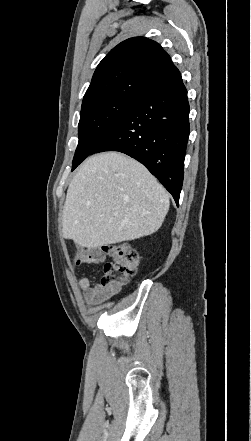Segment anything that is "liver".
Wrapping results in <instances>:
<instances>
[{
	"label": "liver",
	"mask_w": 251,
	"mask_h": 441,
	"mask_svg": "<svg viewBox=\"0 0 251 441\" xmlns=\"http://www.w3.org/2000/svg\"><path fill=\"white\" fill-rule=\"evenodd\" d=\"M169 195L139 162L118 152L89 157L69 184L62 232L88 249L155 233Z\"/></svg>",
	"instance_id": "liver-1"
}]
</instances>
